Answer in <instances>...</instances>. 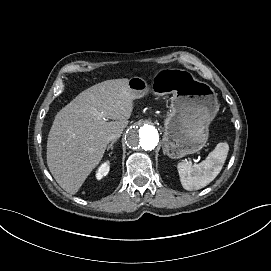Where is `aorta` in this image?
<instances>
[{"label": "aorta", "mask_w": 271, "mask_h": 271, "mask_svg": "<svg viewBox=\"0 0 271 271\" xmlns=\"http://www.w3.org/2000/svg\"><path fill=\"white\" fill-rule=\"evenodd\" d=\"M125 139L134 150L151 151L158 145L159 133L148 121L139 120L127 130Z\"/></svg>", "instance_id": "1"}]
</instances>
